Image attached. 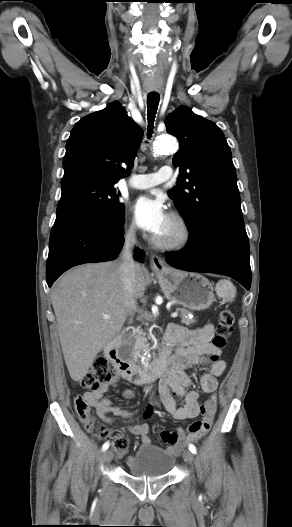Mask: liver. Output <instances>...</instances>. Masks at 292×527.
Masks as SVG:
<instances>
[{"mask_svg": "<svg viewBox=\"0 0 292 527\" xmlns=\"http://www.w3.org/2000/svg\"><path fill=\"white\" fill-rule=\"evenodd\" d=\"M121 273L119 260L86 264L65 273L53 286L58 336L74 381L86 376L97 354L122 329L128 316ZM147 275L145 268L136 264L135 299L143 296Z\"/></svg>", "mask_w": 292, "mask_h": 527, "instance_id": "6515ba94", "label": "liver"}]
</instances>
